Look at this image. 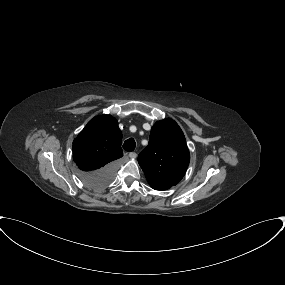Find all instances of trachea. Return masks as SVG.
<instances>
[{"mask_svg": "<svg viewBox=\"0 0 285 285\" xmlns=\"http://www.w3.org/2000/svg\"><path fill=\"white\" fill-rule=\"evenodd\" d=\"M135 146H136V143H135V140L133 138L127 139L123 144V148L127 152L134 151Z\"/></svg>", "mask_w": 285, "mask_h": 285, "instance_id": "trachea-1", "label": "trachea"}]
</instances>
